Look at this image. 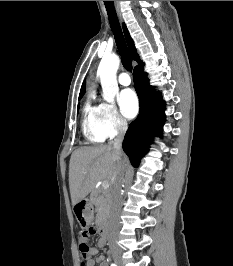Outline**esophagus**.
<instances>
[{
	"label": "esophagus",
	"instance_id": "34e87169",
	"mask_svg": "<svg viewBox=\"0 0 233 266\" xmlns=\"http://www.w3.org/2000/svg\"><path fill=\"white\" fill-rule=\"evenodd\" d=\"M115 7H116V11L118 13V16L121 18V11H120V6L118 1H115Z\"/></svg>",
	"mask_w": 233,
	"mask_h": 266
}]
</instances>
